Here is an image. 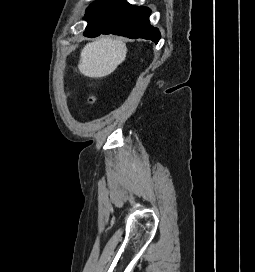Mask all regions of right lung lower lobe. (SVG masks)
Segmentation results:
<instances>
[{
	"mask_svg": "<svg viewBox=\"0 0 255 272\" xmlns=\"http://www.w3.org/2000/svg\"><path fill=\"white\" fill-rule=\"evenodd\" d=\"M150 13L149 8L133 6L125 0H97L86 10L88 25L84 35L96 37L112 33L157 43L161 36L159 30L150 25Z\"/></svg>",
	"mask_w": 255,
	"mask_h": 272,
	"instance_id": "right-lung-lower-lobe-1",
	"label": "right lung lower lobe"
}]
</instances>
